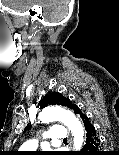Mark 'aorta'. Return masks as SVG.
Wrapping results in <instances>:
<instances>
[{
	"label": "aorta",
	"mask_w": 119,
	"mask_h": 155,
	"mask_svg": "<svg viewBox=\"0 0 119 155\" xmlns=\"http://www.w3.org/2000/svg\"><path fill=\"white\" fill-rule=\"evenodd\" d=\"M42 123L62 122L73 135L74 149L80 150L84 142V128L78 118L69 110L60 106H49L39 114Z\"/></svg>",
	"instance_id": "aorta-1"
}]
</instances>
